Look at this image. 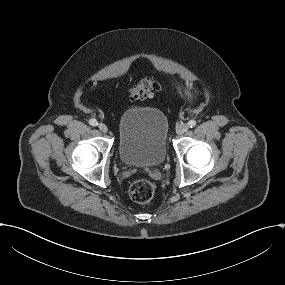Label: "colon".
Masks as SVG:
<instances>
[{"mask_svg": "<svg viewBox=\"0 0 285 285\" xmlns=\"http://www.w3.org/2000/svg\"><path fill=\"white\" fill-rule=\"evenodd\" d=\"M162 84L151 77H145L130 87L129 96L133 101L145 100L160 91ZM155 193L154 185L147 180L134 181L129 188L130 198L139 204L152 200Z\"/></svg>", "mask_w": 285, "mask_h": 285, "instance_id": "5ec220e1", "label": "colon"}]
</instances>
